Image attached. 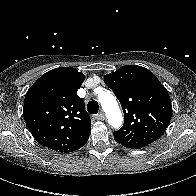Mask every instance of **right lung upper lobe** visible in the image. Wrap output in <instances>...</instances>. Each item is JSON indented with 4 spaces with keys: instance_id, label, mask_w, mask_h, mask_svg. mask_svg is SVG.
<instances>
[{
    "instance_id": "cb5924a9",
    "label": "right lung upper lobe",
    "mask_w": 196,
    "mask_h": 196,
    "mask_svg": "<svg viewBox=\"0 0 196 196\" xmlns=\"http://www.w3.org/2000/svg\"><path fill=\"white\" fill-rule=\"evenodd\" d=\"M84 78L73 67L56 68L42 75L27 91L23 115L40 145L68 153L88 141L90 117L77 95Z\"/></svg>"
}]
</instances>
